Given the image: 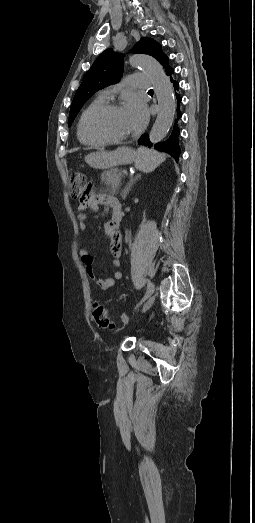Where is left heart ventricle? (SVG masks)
<instances>
[{"instance_id":"1","label":"left heart ventricle","mask_w":255,"mask_h":523,"mask_svg":"<svg viewBox=\"0 0 255 523\" xmlns=\"http://www.w3.org/2000/svg\"><path fill=\"white\" fill-rule=\"evenodd\" d=\"M89 128L100 136L126 137L135 134L133 116L127 106L95 114L89 121Z\"/></svg>"}]
</instances>
